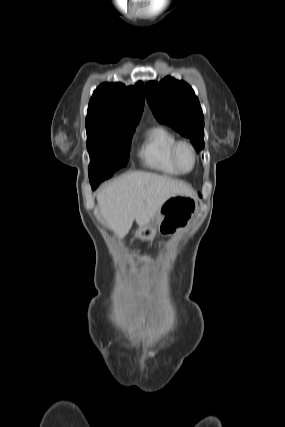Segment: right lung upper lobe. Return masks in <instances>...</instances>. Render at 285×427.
I'll list each match as a JSON object with an SVG mask.
<instances>
[{
    "instance_id": "obj_1",
    "label": "right lung upper lobe",
    "mask_w": 285,
    "mask_h": 427,
    "mask_svg": "<svg viewBox=\"0 0 285 427\" xmlns=\"http://www.w3.org/2000/svg\"><path fill=\"white\" fill-rule=\"evenodd\" d=\"M144 107V86L138 82L126 87L122 83H103L93 93L87 111L86 126H136Z\"/></svg>"
}]
</instances>
